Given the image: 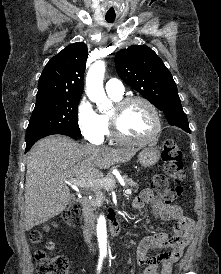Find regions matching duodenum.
I'll return each mask as SVG.
<instances>
[{"mask_svg": "<svg viewBox=\"0 0 221 274\" xmlns=\"http://www.w3.org/2000/svg\"><path fill=\"white\" fill-rule=\"evenodd\" d=\"M78 203L83 209V216L85 221L83 232L86 239H89L93 224V215L89 207V199L87 196H81L78 199ZM109 229L113 236L119 235L123 231L122 221L117 218L113 212H110L109 214Z\"/></svg>", "mask_w": 221, "mask_h": 274, "instance_id": "obj_1", "label": "duodenum"}]
</instances>
